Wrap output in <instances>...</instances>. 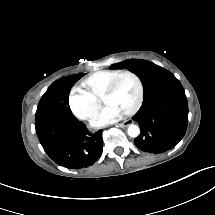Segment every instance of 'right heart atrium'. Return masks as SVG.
Instances as JSON below:
<instances>
[{
  "instance_id": "obj_1",
  "label": "right heart atrium",
  "mask_w": 215,
  "mask_h": 215,
  "mask_svg": "<svg viewBox=\"0 0 215 215\" xmlns=\"http://www.w3.org/2000/svg\"><path fill=\"white\" fill-rule=\"evenodd\" d=\"M69 106L82 120H90L100 111V102L92 94L81 92L77 87L70 92Z\"/></svg>"
}]
</instances>
